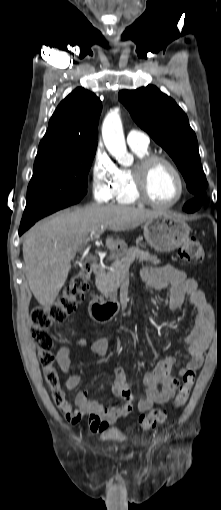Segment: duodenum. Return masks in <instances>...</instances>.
Listing matches in <instances>:
<instances>
[{
    "instance_id": "410a0bca",
    "label": "duodenum",
    "mask_w": 221,
    "mask_h": 510,
    "mask_svg": "<svg viewBox=\"0 0 221 510\" xmlns=\"http://www.w3.org/2000/svg\"><path fill=\"white\" fill-rule=\"evenodd\" d=\"M103 272V265L99 262L94 263L93 273L95 277H100ZM117 308V303L104 301L98 296H94L88 304V312L91 318L97 322H105L110 319L116 313Z\"/></svg>"
}]
</instances>
